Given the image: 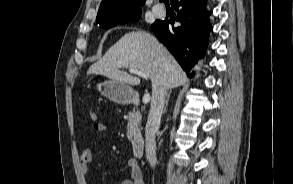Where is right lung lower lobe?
<instances>
[{
	"mask_svg": "<svg viewBox=\"0 0 293 184\" xmlns=\"http://www.w3.org/2000/svg\"><path fill=\"white\" fill-rule=\"evenodd\" d=\"M207 0H171L177 11L175 19L156 20L152 30L156 37L169 49L176 60L187 72L191 66L202 58L206 51L211 26L208 21L210 13H206Z\"/></svg>",
	"mask_w": 293,
	"mask_h": 184,
	"instance_id": "1",
	"label": "right lung lower lobe"
}]
</instances>
